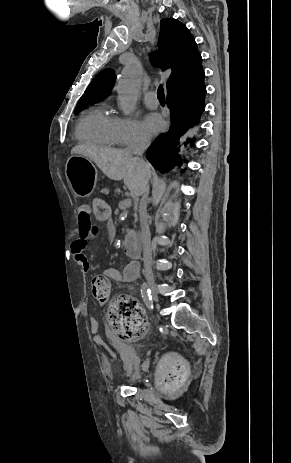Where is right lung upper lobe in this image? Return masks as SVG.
Listing matches in <instances>:
<instances>
[{"label":"right lung upper lobe","mask_w":291,"mask_h":463,"mask_svg":"<svg viewBox=\"0 0 291 463\" xmlns=\"http://www.w3.org/2000/svg\"><path fill=\"white\" fill-rule=\"evenodd\" d=\"M160 24L157 64L162 70H172L167 81V91L195 87L203 68L202 58L192 34L185 25L173 18L162 19ZM114 80L112 70L101 71L87 87L78 104L95 103L107 97Z\"/></svg>","instance_id":"obj_1"}]
</instances>
